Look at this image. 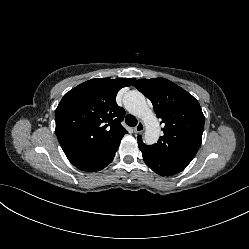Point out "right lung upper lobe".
I'll use <instances>...</instances> for the list:
<instances>
[{
  "mask_svg": "<svg viewBox=\"0 0 249 249\" xmlns=\"http://www.w3.org/2000/svg\"><path fill=\"white\" fill-rule=\"evenodd\" d=\"M134 78H95L67 92L55 111L56 135L64 153L97 150L127 133L125 111L115 101Z\"/></svg>",
  "mask_w": 249,
  "mask_h": 249,
  "instance_id": "obj_1",
  "label": "right lung upper lobe"
}]
</instances>
